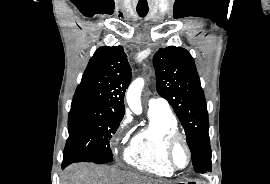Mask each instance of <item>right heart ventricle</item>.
I'll use <instances>...</instances> for the list:
<instances>
[{
  "instance_id": "right-heart-ventricle-1",
  "label": "right heart ventricle",
  "mask_w": 270,
  "mask_h": 184,
  "mask_svg": "<svg viewBox=\"0 0 270 184\" xmlns=\"http://www.w3.org/2000/svg\"><path fill=\"white\" fill-rule=\"evenodd\" d=\"M149 124L131 139L124 153L130 166L158 176L169 177L174 171L165 160L168 135L178 131L177 119L170 109H149Z\"/></svg>"
}]
</instances>
